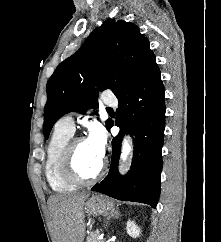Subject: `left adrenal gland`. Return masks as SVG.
I'll return each instance as SVG.
<instances>
[{
	"mask_svg": "<svg viewBox=\"0 0 221 242\" xmlns=\"http://www.w3.org/2000/svg\"><path fill=\"white\" fill-rule=\"evenodd\" d=\"M119 216H120V212H119L118 210H116V211H112V212L110 213V215H108V217H107V222H106V224H109V221H110L111 218H119Z\"/></svg>",
	"mask_w": 221,
	"mask_h": 242,
	"instance_id": "1",
	"label": "left adrenal gland"
}]
</instances>
